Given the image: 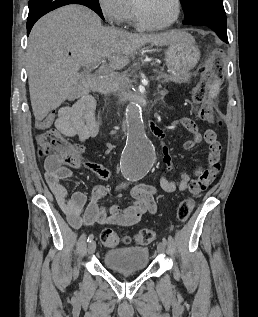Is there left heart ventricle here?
I'll return each mask as SVG.
<instances>
[{
  "label": "left heart ventricle",
  "mask_w": 258,
  "mask_h": 317,
  "mask_svg": "<svg viewBox=\"0 0 258 317\" xmlns=\"http://www.w3.org/2000/svg\"><path fill=\"white\" fill-rule=\"evenodd\" d=\"M176 14V6L171 0H153L141 9V20L146 27H158L169 23Z\"/></svg>",
  "instance_id": "1"
}]
</instances>
